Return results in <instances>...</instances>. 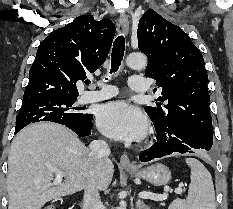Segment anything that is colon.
I'll return each instance as SVG.
<instances>
[{
    "mask_svg": "<svg viewBox=\"0 0 233 209\" xmlns=\"http://www.w3.org/2000/svg\"><path fill=\"white\" fill-rule=\"evenodd\" d=\"M43 209H56V207L53 205H48V206H45Z\"/></svg>",
    "mask_w": 233,
    "mask_h": 209,
    "instance_id": "colon-1",
    "label": "colon"
}]
</instances>
